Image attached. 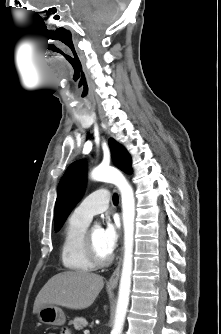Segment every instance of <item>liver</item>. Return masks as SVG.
<instances>
[{
    "mask_svg": "<svg viewBox=\"0 0 221 334\" xmlns=\"http://www.w3.org/2000/svg\"><path fill=\"white\" fill-rule=\"evenodd\" d=\"M104 286L103 277L95 273L65 271L54 275L38 293L33 313L59 305L74 310L88 308Z\"/></svg>",
    "mask_w": 221,
    "mask_h": 334,
    "instance_id": "1",
    "label": "liver"
}]
</instances>
